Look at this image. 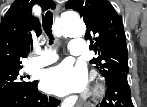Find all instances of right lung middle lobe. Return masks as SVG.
I'll return each instance as SVG.
<instances>
[{
	"label": "right lung middle lobe",
	"instance_id": "obj_1",
	"mask_svg": "<svg viewBox=\"0 0 147 107\" xmlns=\"http://www.w3.org/2000/svg\"><path fill=\"white\" fill-rule=\"evenodd\" d=\"M20 69V65H14L0 70V97L34 84V81H28L27 77L19 73Z\"/></svg>",
	"mask_w": 147,
	"mask_h": 107
}]
</instances>
